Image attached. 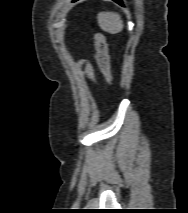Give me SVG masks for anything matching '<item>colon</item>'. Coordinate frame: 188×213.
<instances>
[{
    "label": "colon",
    "instance_id": "obj_1",
    "mask_svg": "<svg viewBox=\"0 0 188 213\" xmlns=\"http://www.w3.org/2000/svg\"><path fill=\"white\" fill-rule=\"evenodd\" d=\"M96 62L102 71L106 81H113V73L111 70V62L109 55V47L104 34L98 33L95 35Z\"/></svg>",
    "mask_w": 188,
    "mask_h": 213
}]
</instances>
